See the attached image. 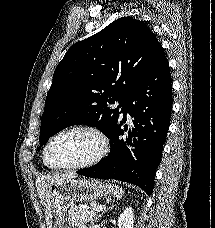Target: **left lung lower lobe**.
<instances>
[{"label": "left lung lower lobe", "mask_w": 215, "mask_h": 228, "mask_svg": "<svg viewBox=\"0 0 215 228\" xmlns=\"http://www.w3.org/2000/svg\"><path fill=\"white\" fill-rule=\"evenodd\" d=\"M171 81L169 63L162 49L146 76L122 106L123 120L126 121L127 113L133 118L136 128L132 133L138 139L132 141L131 136L123 139V129L120 128L123 121L119 120L109 137V155L77 173L91 178L128 182L150 195L170 124L173 100Z\"/></svg>", "instance_id": "obj_1"}]
</instances>
